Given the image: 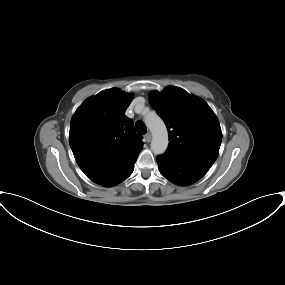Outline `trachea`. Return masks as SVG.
<instances>
[{"label": "trachea", "mask_w": 285, "mask_h": 285, "mask_svg": "<svg viewBox=\"0 0 285 285\" xmlns=\"http://www.w3.org/2000/svg\"><path fill=\"white\" fill-rule=\"evenodd\" d=\"M135 129L140 135H144L147 132L145 124L140 120L135 123Z\"/></svg>", "instance_id": "1"}]
</instances>
